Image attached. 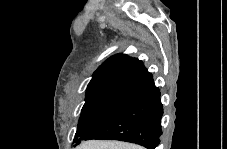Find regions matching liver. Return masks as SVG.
Returning <instances> with one entry per match:
<instances>
[{
	"instance_id": "6515ba94",
	"label": "liver",
	"mask_w": 227,
	"mask_h": 149,
	"mask_svg": "<svg viewBox=\"0 0 227 149\" xmlns=\"http://www.w3.org/2000/svg\"><path fill=\"white\" fill-rule=\"evenodd\" d=\"M79 149H142V147L119 141L91 140L82 143Z\"/></svg>"
}]
</instances>
